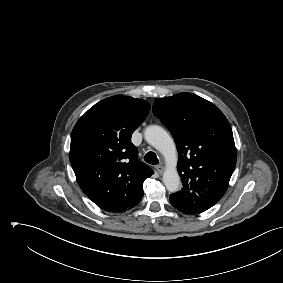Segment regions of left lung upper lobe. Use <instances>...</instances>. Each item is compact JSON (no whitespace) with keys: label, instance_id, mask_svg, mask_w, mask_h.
Returning a JSON list of instances; mask_svg holds the SVG:
<instances>
[{"label":"left lung upper lobe","instance_id":"5c2ea615","mask_svg":"<svg viewBox=\"0 0 283 283\" xmlns=\"http://www.w3.org/2000/svg\"><path fill=\"white\" fill-rule=\"evenodd\" d=\"M153 113L176 142L183 187L174 195L208 210L225 194L236 166L228 120L213 103L191 93L156 98Z\"/></svg>","mask_w":283,"mask_h":283}]
</instances>
